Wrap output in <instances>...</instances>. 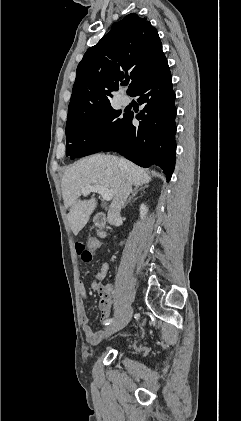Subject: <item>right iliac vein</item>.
Masks as SVG:
<instances>
[{"instance_id":"obj_1","label":"right iliac vein","mask_w":241,"mask_h":421,"mask_svg":"<svg viewBox=\"0 0 241 421\" xmlns=\"http://www.w3.org/2000/svg\"><path fill=\"white\" fill-rule=\"evenodd\" d=\"M133 310L131 307L127 309L125 314L118 320L113 322L110 326L105 329V336L109 337L115 332L124 328L131 320Z\"/></svg>"}]
</instances>
